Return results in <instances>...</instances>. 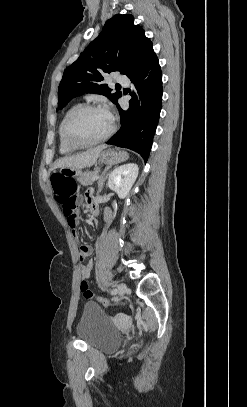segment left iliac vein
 Returning a JSON list of instances; mask_svg holds the SVG:
<instances>
[{"label": "left iliac vein", "mask_w": 247, "mask_h": 407, "mask_svg": "<svg viewBox=\"0 0 247 407\" xmlns=\"http://www.w3.org/2000/svg\"><path fill=\"white\" fill-rule=\"evenodd\" d=\"M117 289L120 295H124L128 292L127 285L123 282L117 285Z\"/></svg>", "instance_id": "1"}]
</instances>
